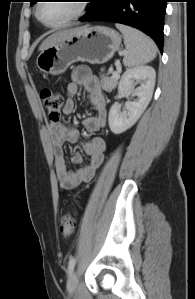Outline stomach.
<instances>
[{"label": "stomach", "instance_id": "0dacf381", "mask_svg": "<svg viewBox=\"0 0 195 299\" xmlns=\"http://www.w3.org/2000/svg\"><path fill=\"white\" fill-rule=\"evenodd\" d=\"M121 35L104 26H84L73 30L57 43L41 51L36 59L39 70L59 75L75 62L103 64L120 47Z\"/></svg>", "mask_w": 195, "mask_h": 299}]
</instances>
